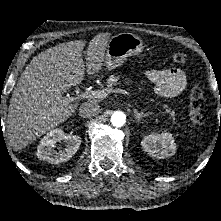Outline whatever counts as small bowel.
<instances>
[{"label":"small bowel","instance_id":"obj_1","mask_svg":"<svg viewBox=\"0 0 221 221\" xmlns=\"http://www.w3.org/2000/svg\"><path fill=\"white\" fill-rule=\"evenodd\" d=\"M145 77L154 83V93L164 98H172L184 91L187 78L179 69H151L145 71Z\"/></svg>","mask_w":221,"mask_h":221}]
</instances>
